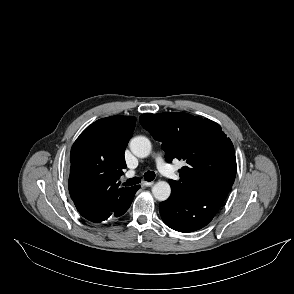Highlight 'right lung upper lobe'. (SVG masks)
Instances as JSON below:
<instances>
[{"mask_svg":"<svg viewBox=\"0 0 294 294\" xmlns=\"http://www.w3.org/2000/svg\"><path fill=\"white\" fill-rule=\"evenodd\" d=\"M135 122V117L121 115L99 119L74 142L69 192L83 217L109 211L131 188H119L117 180L126 168L124 151Z\"/></svg>","mask_w":294,"mask_h":294,"instance_id":"right-lung-upper-lobe-1","label":"right lung upper lobe"}]
</instances>
